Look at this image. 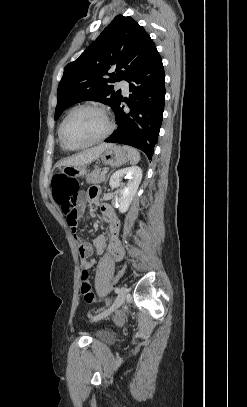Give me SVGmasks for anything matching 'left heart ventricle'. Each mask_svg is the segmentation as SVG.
Wrapping results in <instances>:
<instances>
[{
	"label": "left heart ventricle",
	"mask_w": 247,
	"mask_h": 407,
	"mask_svg": "<svg viewBox=\"0 0 247 407\" xmlns=\"http://www.w3.org/2000/svg\"><path fill=\"white\" fill-rule=\"evenodd\" d=\"M106 128V120L99 112L80 110L67 120L63 139L68 146L78 147L100 137Z\"/></svg>",
	"instance_id": "left-heart-ventricle-1"
}]
</instances>
